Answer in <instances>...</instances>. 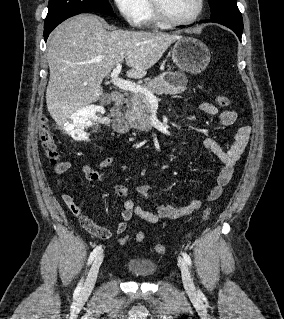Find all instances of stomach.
Listing matches in <instances>:
<instances>
[{
  "label": "stomach",
  "mask_w": 284,
  "mask_h": 319,
  "mask_svg": "<svg viewBox=\"0 0 284 319\" xmlns=\"http://www.w3.org/2000/svg\"><path fill=\"white\" fill-rule=\"evenodd\" d=\"M174 63L185 72L201 73L210 62L211 53L200 40L182 37L177 40L171 50Z\"/></svg>",
  "instance_id": "0dacf381"
}]
</instances>
